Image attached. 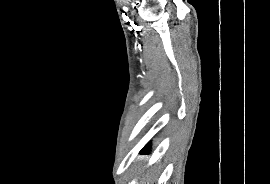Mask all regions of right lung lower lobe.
I'll return each mask as SVG.
<instances>
[{"mask_svg": "<svg viewBox=\"0 0 270 184\" xmlns=\"http://www.w3.org/2000/svg\"><path fill=\"white\" fill-rule=\"evenodd\" d=\"M149 150H150V146H149V145H146V146L140 151V153H141V154H145V153L149 152Z\"/></svg>", "mask_w": 270, "mask_h": 184, "instance_id": "obj_1", "label": "right lung lower lobe"}]
</instances>
